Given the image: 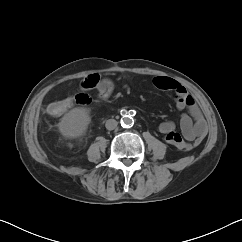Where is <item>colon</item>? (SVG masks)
Masks as SVG:
<instances>
[{"label": "colon", "mask_w": 242, "mask_h": 242, "mask_svg": "<svg viewBox=\"0 0 242 242\" xmlns=\"http://www.w3.org/2000/svg\"><path fill=\"white\" fill-rule=\"evenodd\" d=\"M98 79L91 78L88 82L81 86L80 92L74 97V102L79 105H86L90 102L88 91L96 87ZM99 96L107 98L110 91L106 87L98 88ZM70 98L55 101L48 106V112L52 115H61L68 110Z\"/></svg>", "instance_id": "obj_1"}]
</instances>
